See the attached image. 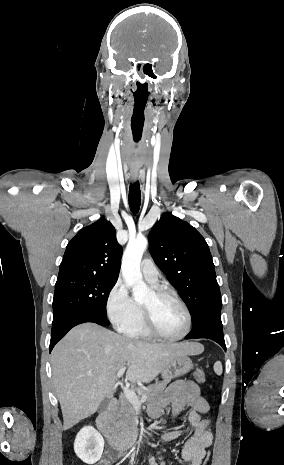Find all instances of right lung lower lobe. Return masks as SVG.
I'll return each mask as SVG.
<instances>
[{"label":"right lung lower lobe","instance_id":"1","mask_svg":"<svg viewBox=\"0 0 284 465\" xmlns=\"http://www.w3.org/2000/svg\"><path fill=\"white\" fill-rule=\"evenodd\" d=\"M85 322H93L103 326L109 325L108 319L102 314L86 311L68 313L60 319L53 321L49 351H52L55 344L61 340L70 329Z\"/></svg>","mask_w":284,"mask_h":465}]
</instances>
